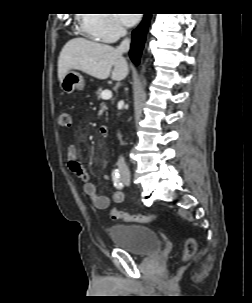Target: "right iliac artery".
Returning a JSON list of instances; mask_svg holds the SVG:
<instances>
[{
	"instance_id": "1",
	"label": "right iliac artery",
	"mask_w": 252,
	"mask_h": 303,
	"mask_svg": "<svg viewBox=\"0 0 252 303\" xmlns=\"http://www.w3.org/2000/svg\"><path fill=\"white\" fill-rule=\"evenodd\" d=\"M112 177H113V183H114V186L118 189H121L123 187V184L121 182V179H120V174H119V171L117 169H115L112 173Z\"/></svg>"
}]
</instances>
